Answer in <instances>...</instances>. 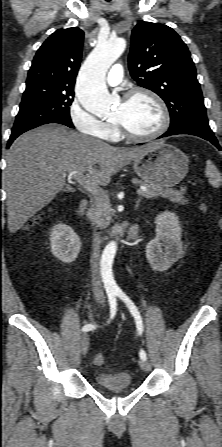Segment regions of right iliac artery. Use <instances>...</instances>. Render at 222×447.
<instances>
[{"label": "right iliac artery", "mask_w": 222, "mask_h": 447, "mask_svg": "<svg viewBox=\"0 0 222 447\" xmlns=\"http://www.w3.org/2000/svg\"><path fill=\"white\" fill-rule=\"evenodd\" d=\"M108 299H109V304H110L111 318H113L114 315L116 314V310H117L116 294L113 292H109ZM95 328H96V325H94V324H86L85 326H83L82 331L87 332V331L93 330Z\"/></svg>", "instance_id": "right-iliac-artery-1"}]
</instances>
